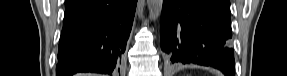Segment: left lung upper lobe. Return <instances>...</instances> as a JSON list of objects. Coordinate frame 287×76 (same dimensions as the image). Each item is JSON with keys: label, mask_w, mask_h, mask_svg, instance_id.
<instances>
[{"label": "left lung upper lobe", "mask_w": 287, "mask_h": 76, "mask_svg": "<svg viewBox=\"0 0 287 76\" xmlns=\"http://www.w3.org/2000/svg\"><path fill=\"white\" fill-rule=\"evenodd\" d=\"M209 1L214 7L224 11L227 14H230V0H209Z\"/></svg>", "instance_id": "1"}]
</instances>
